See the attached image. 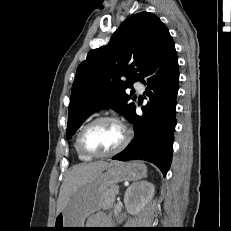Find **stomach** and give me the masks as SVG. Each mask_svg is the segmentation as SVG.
<instances>
[{
	"mask_svg": "<svg viewBox=\"0 0 231 231\" xmlns=\"http://www.w3.org/2000/svg\"><path fill=\"white\" fill-rule=\"evenodd\" d=\"M147 168L141 162L123 163L114 161L97 172L81 185L69 198L64 210L56 215L55 231L76 230L64 228H84L85 219L104 207L103 201L109 188L122 181H136L146 176Z\"/></svg>",
	"mask_w": 231,
	"mask_h": 231,
	"instance_id": "0dacf381",
	"label": "stomach"
}]
</instances>
